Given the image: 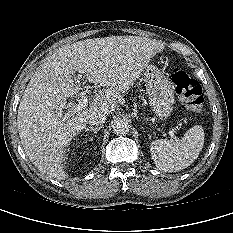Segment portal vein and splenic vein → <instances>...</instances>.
Returning a JSON list of instances; mask_svg holds the SVG:
<instances>
[{
    "label": "portal vein and splenic vein",
    "instance_id": "18ae733b",
    "mask_svg": "<svg viewBox=\"0 0 233 233\" xmlns=\"http://www.w3.org/2000/svg\"><path fill=\"white\" fill-rule=\"evenodd\" d=\"M78 79H81V76H78ZM88 105V97L83 95L81 96V98L79 99V103L76 106H73L70 112H79L82 109H84L86 106ZM169 135L171 138L175 139L176 141H178L179 139L175 136L174 132L171 130L169 131Z\"/></svg>",
    "mask_w": 233,
    "mask_h": 233
}]
</instances>
